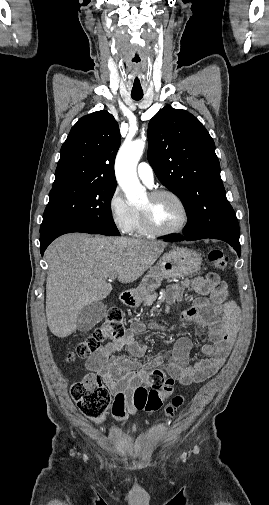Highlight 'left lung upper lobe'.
<instances>
[{
  "instance_id": "1",
  "label": "left lung upper lobe",
  "mask_w": 269,
  "mask_h": 505,
  "mask_svg": "<svg viewBox=\"0 0 269 505\" xmlns=\"http://www.w3.org/2000/svg\"><path fill=\"white\" fill-rule=\"evenodd\" d=\"M148 140V161L156 176L187 210L183 235H240L220 177L214 141L201 122L185 110L166 106L150 120Z\"/></svg>"
}]
</instances>
